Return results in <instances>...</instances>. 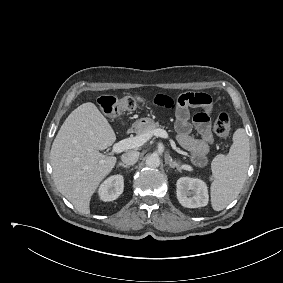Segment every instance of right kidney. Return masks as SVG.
Instances as JSON below:
<instances>
[{
  "mask_svg": "<svg viewBox=\"0 0 283 283\" xmlns=\"http://www.w3.org/2000/svg\"><path fill=\"white\" fill-rule=\"evenodd\" d=\"M124 179L121 175H114L106 179L99 188V196L103 201H113L123 192Z\"/></svg>",
  "mask_w": 283,
  "mask_h": 283,
  "instance_id": "1",
  "label": "right kidney"
}]
</instances>
